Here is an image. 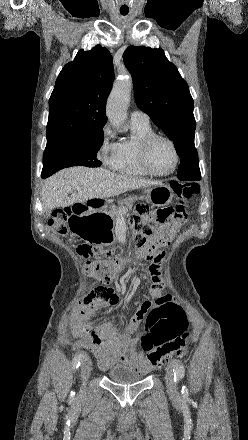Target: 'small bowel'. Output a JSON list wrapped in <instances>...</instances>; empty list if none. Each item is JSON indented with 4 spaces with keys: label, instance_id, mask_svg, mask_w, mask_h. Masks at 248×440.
Masks as SVG:
<instances>
[{
    "label": "small bowel",
    "instance_id": "1",
    "mask_svg": "<svg viewBox=\"0 0 248 440\" xmlns=\"http://www.w3.org/2000/svg\"><path fill=\"white\" fill-rule=\"evenodd\" d=\"M161 263L162 260L159 257L150 259L148 263L152 276L150 293L154 300L144 301L123 330L119 331L112 322H102L97 325L92 322V317L96 312L118 304L119 296L114 289L106 287L113 290L114 297L112 299H100L91 307L79 308L71 321V333L77 339L73 343V347L91 351L102 369H110L118 364H124L136 371L147 372L155 366L147 354L138 350V343L143 336L141 324L155 303H170L171 300H175L169 295L162 296L164 278L161 276ZM100 288L102 287L95 290Z\"/></svg>",
    "mask_w": 248,
    "mask_h": 440
}]
</instances>
